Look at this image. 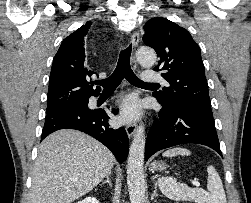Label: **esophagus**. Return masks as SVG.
<instances>
[{"instance_id": "34e87169", "label": "esophagus", "mask_w": 251, "mask_h": 203, "mask_svg": "<svg viewBox=\"0 0 251 203\" xmlns=\"http://www.w3.org/2000/svg\"><path fill=\"white\" fill-rule=\"evenodd\" d=\"M139 38H140L139 32L134 31L131 36V43L134 46V48H136V46L138 45ZM132 65L134 68L137 67V62L134 55L132 56ZM135 131H136V125L134 123H128L126 125V132L129 138H131L135 134Z\"/></svg>"}]
</instances>
